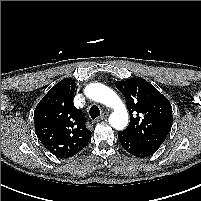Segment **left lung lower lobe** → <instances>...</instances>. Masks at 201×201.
<instances>
[{
  "instance_id": "left-lung-lower-lobe-1",
  "label": "left lung lower lobe",
  "mask_w": 201,
  "mask_h": 201,
  "mask_svg": "<svg viewBox=\"0 0 201 201\" xmlns=\"http://www.w3.org/2000/svg\"><path fill=\"white\" fill-rule=\"evenodd\" d=\"M118 138L125 150H127L129 153L136 157H148L155 152V150L145 146L126 132L119 131Z\"/></svg>"
}]
</instances>
